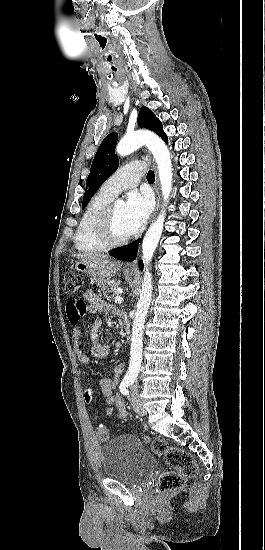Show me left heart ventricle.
Segmentation results:
<instances>
[{
    "label": "left heart ventricle",
    "mask_w": 265,
    "mask_h": 550,
    "mask_svg": "<svg viewBox=\"0 0 265 550\" xmlns=\"http://www.w3.org/2000/svg\"><path fill=\"white\" fill-rule=\"evenodd\" d=\"M113 230L116 236L122 237L130 234L126 219L125 206L116 204L113 210Z\"/></svg>",
    "instance_id": "1"
}]
</instances>
